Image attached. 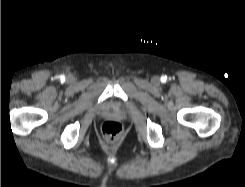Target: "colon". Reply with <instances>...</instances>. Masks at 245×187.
<instances>
[{
	"label": "colon",
	"mask_w": 245,
	"mask_h": 187,
	"mask_svg": "<svg viewBox=\"0 0 245 187\" xmlns=\"http://www.w3.org/2000/svg\"><path fill=\"white\" fill-rule=\"evenodd\" d=\"M101 131L105 139L113 141L120 136L122 132V126L116 121H106L102 125Z\"/></svg>",
	"instance_id": "colon-1"
}]
</instances>
